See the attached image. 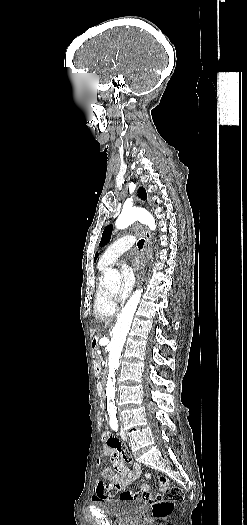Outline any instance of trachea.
<instances>
[{"label": "trachea", "mask_w": 247, "mask_h": 525, "mask_svg": "<svg viewBox=\"0 0 247 525\" xmlns=\"http://www.w3.org/2000/svg\"><path fill=\"white\" fill-rule=\"evenodd\" d=\"M144 244H145V240L141 239V240L138 241L137 246L141 250L143 248Z\"/></svg>", "instance_id": "1"}]
</instances>
